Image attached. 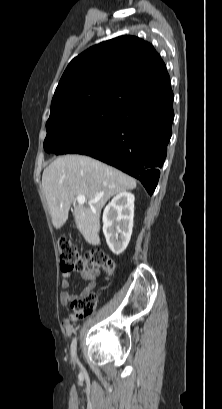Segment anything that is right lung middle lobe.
<instances>
[{"mask_svg":"<svg viewBox=\"0 0 222 409\" xmlns=\"http://www.w3.org/2000/svg\"><path fill=\"white\" fill-rule=\"evenodd\" d=\"M118 103L72 105L50 113L44 149L57 155L96 151L107 136Z\"/></svg>","mask_w":222,"mask_h":409,"instance_id":"obj_1","label":"right lung middle lobe"}]
</instances>
